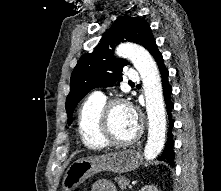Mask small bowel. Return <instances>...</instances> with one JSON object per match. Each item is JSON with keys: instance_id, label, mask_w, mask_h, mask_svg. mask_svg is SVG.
I'll return each mask as SVG.
<instances>
[{"instance_id": "1", "label": "small bowel", "mask_w": 221, "mask_h": 191, "mask_svg": "<svg viewBox=\"0 0 221 191\" xmlns=\"http://www.w3.org/2000/svg\"><path fill=\"white\" fill-rule=\"evenodd\" d=\"M91 191H117L114 184L110 181L100 180L97 181L93 186Z\"/></svg>"}]
</instances>
